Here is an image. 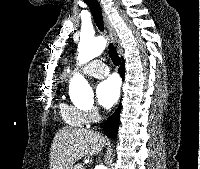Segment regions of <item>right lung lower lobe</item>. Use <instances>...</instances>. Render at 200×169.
Segmentation results:
<instances>
[{"mask_svg": "<svg viewBox=\"0 0 200 169\" xmlns=\"http://www.w3.org/2000/svg\"><path fill=\"white\" fill-rule=\"evenodd\" d=\"M119 74L121 75V77H124L125 74V69H124V65L122 64L119 68ZM120 107H118L116 109V111L106 120V122L103 125V130L104 133L110 137V138H114L116 136L117 133V129L119 126V119H120Z\"/></svg>", "mask_w": 200, "mask_h": 169, "instance_id": "98d812e1", "label": "right lung lower lobe"}]
</instances>
